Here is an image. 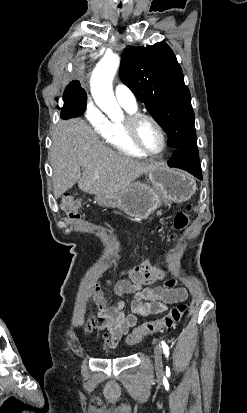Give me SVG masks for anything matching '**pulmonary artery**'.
<instances>
[{
	"mask_svg": "<svg viewBox=\"0 0 247 413\" xmlns=\"http://www.w3.org/2000/svg\"><path fill=\"white\" fill-rule=\"evenodd\" d=\"M115 95L119 103L129 108L137 106L136 96L133 90L125 83L119 82L115 85Z\"/></svg>",
	"mask_w": 247,
	"mask_h": 413,
	"instance_id": "obj_1",
	"label": "pulmonary artery"
}]
</instances>
